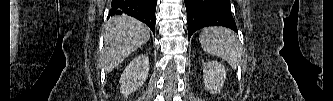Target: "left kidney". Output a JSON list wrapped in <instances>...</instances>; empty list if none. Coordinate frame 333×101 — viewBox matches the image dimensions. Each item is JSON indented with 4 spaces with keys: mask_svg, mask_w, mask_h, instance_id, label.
<instances>
[{
    "mask_svg": "<svg viewBox=\"0 0 333 101\" xmlns=\"http://www.w3.org/2000/svg\"><path fill=\"white\" fill-rule=\"evenodd\" d=\"M204 72L205 89L213 94L219 93L226 80V69L217 61H208L202 64Z\"/></svg>",
    "mask_w": 333,
    "mask_h": 101,
    "instance_id": "1",
    "label": "left kidney"
}]
</instances>
